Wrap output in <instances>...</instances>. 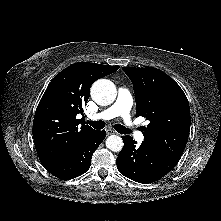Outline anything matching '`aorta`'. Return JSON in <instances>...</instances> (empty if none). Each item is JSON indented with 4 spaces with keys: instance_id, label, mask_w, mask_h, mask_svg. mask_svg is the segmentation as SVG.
Listing matches in <instances>:
<instances>
[{
    "instance_id": "aorta-1",
    "label": "aorta",
    "mask_w": 221,
    "mask_h": 221,
    "mask_svg": "<svg viewBox=\"0 0 221 221\" xmlns=\"http://www.w3.org/2000/svg\"><path fill=\"white\" fill-rule=\"evenodd\" d=\"M116 95L114 83L107 79H99L91 87V97L101 106L112 104ZM106 147L113 152H119L123 148V140L117 135H111L106 139Z\"/></svg>"
}]
</instances>
